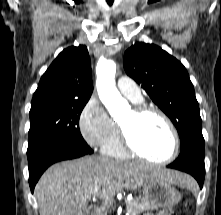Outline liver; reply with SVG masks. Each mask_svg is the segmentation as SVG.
<instances>
[{
    "instance_id": "1",
    "label": "liver",
    "mask_w": 221,
    "mask_h": 215,
    "mask_svg": "<svg viewBox=\"0 0 221 215\" xmlns=\"http://www.w3.org/2000/svg\"><path fill=\"white\" fill-rule=\"evenodd\" d=\"M152 179L179 186L193 184L189 176L174 170L92 156L51 166L38 181L35 196L40 215H87L92 196L107 199L124 188L135 190Z\"/></svg>"
}]
</instances>
